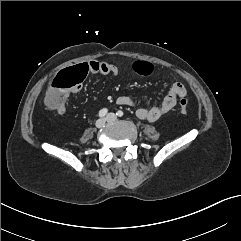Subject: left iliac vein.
I'll use <instances>...</instances> for the list:
<instances>
[{
    "label": "left iliac vein",
    "mask_w": 241,
    "mask_h": 241,
    "mask_svg": "<svg viewBox=\"0 0 241 241\" xmlns=\"http://www.w3.org/2000/svg\"><path fill=\"white\" fill-rule=\"evenodd\" d=\"M106 120L108 122H112V121H116L117 120V116L114 113H109L106 117Z\"/></svg>",
    "instance_id": "left-iliac-vein-1"
}]
</instances>
